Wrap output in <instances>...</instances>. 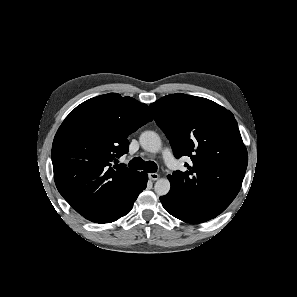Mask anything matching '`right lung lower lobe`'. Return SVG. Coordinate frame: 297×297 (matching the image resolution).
<instances>
[{
  "label": "right lung lower lobe",
  "instance_id": "right-lung-lower-lobe-1",
  "mask_svg": "<svg viewBox=\"0 0 297 297\" xmlns=\"http://www.w3.org/2000/svg\"><path fill=\"white\" fill-rule=\"evenodd\" d=\"M148 175L139 172L113 205L95 222L110 223L128 214L138 195L146 188Z\"/></svg>",
  "mask_w": 297,
  "mask_h": 297
}]
</instances>
